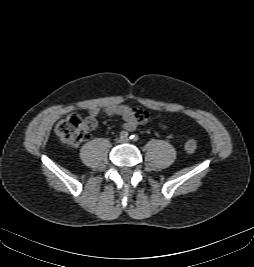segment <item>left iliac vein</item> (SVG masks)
<instances>
[{"mask_svg":"<svg viewBox=\"0 0 254 267\" xmlns=\"http://www.w3.org/2000/svg\"><path fill=\"white\" fill-rule=\"evenodd\" d=\"M122 142H129V139L128 138H124V139H122Z\"/></svg>","mask_w":254,"mask_h":267,"instance_id":"left-iliac-vein-1","label":"left iliac vein"}]
</instances>
